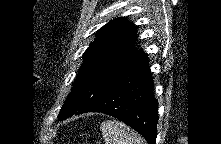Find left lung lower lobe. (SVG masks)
I'll list each match as a JSON object with an SVG mask.
<instances>
[{
  "mask_svg": "<svg viewBox=\"0 0 221 144\" xmlns=\"http://www.w3.org/2000/svg\"><path fill=\"white\" fill-rule=\"evenodd\" d=\"M152 87L148 56L142 53L84 113L114 116L140 133L149 144H155L158 103Z\"/></svg>",
  "mask_w": 221,
  "mask_h": 144,
  "instance_id": "left-lung-lower-lobe-1",
  "label": "left lung lower lobe"
}]
</instances>
